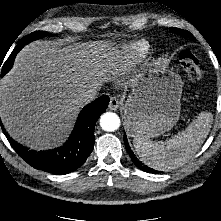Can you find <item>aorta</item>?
I'll use <instances>...</instances> for the list:
<instances>
[{"label":"aorta","instance_id":"762f6f07","mask_svg":"<svg viewBox=\"0 0 221 221\" xmlns=\"http://www.w3.org/2000/svg\"><path fill=\"white\" fill-rule=\"evenodd\" d=\"M100 126L105 131H115L120 127V118L112 112L104 113L100 118Z\"/></svg>","mask_w":221,"mask_h":221}]
</instances>
